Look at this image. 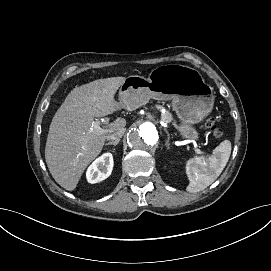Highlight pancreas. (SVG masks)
<instances>
[{
  "label": "pancreas",
  "mask_w": 271,
  "mask_h": 271,
  "mask_svg": "<svg viewBox=\"0 0 271 271\" xmlns=\"http://www.w3.org/2000/svg\"><path fill=\"white\" fill-rule=\"evenodd\" d=\"M161 119L167 123L171 122L172 121V115L171 113H169L168 111H166L165 113H163L161 115Z\"/></svg>",
  "instance_id": "cf45deb5"
}]
</instances>
